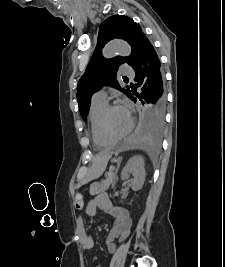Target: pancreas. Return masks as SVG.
Masks as SVG:
<instances>
[{
	"label": "pancreas",
	"instance_id": "1",
	"mask_svg": "<svg viewBox=\"0 0 225 267\" xmlns=\"http://www.w3.org/2000/svg\"><path fill=\"white\" fill-rule=\"evenodd\" d=\"M116 180V173L114 169H110L108 174L106 175L105 180L100 183H93L90 186V195L94 196L100 193L105 192L109 189L110 185L114 186Z\"/></svg>",
	"mask_w": 225,
	"mask_h": 267
}]
</instances>
